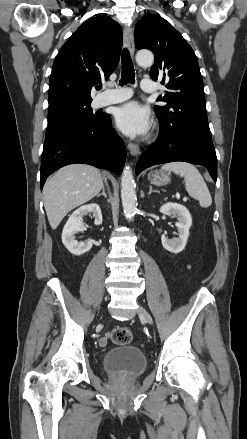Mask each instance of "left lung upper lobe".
I'll list each match as a JSON object with an SVG mask.
<instances>
[{"label": "left lung upper lobe", "instance_id": "left-lung-upper-lobe-1", "mask_svg": "<svg viewBox=\"0 0 247 439\" xmlns=\"http://www.w3.org/2000/svg\"><path fill=\"white\" fill-rule=\"evenodd\" d=\"M135 46L154 53L153 80L168 89L154 110L162 129H185L211 137L203 80L196 55L182 35L160 15L144 16L135 26Z\"/></svg>", "mask_w": 247, "mask_h": 439}]
</instances>
